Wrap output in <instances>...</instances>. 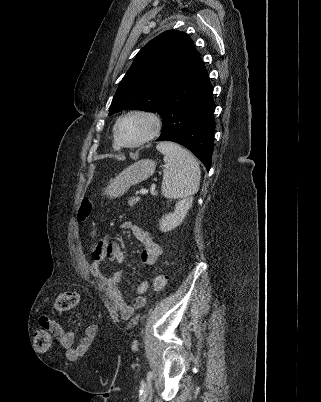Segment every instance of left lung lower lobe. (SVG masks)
Instances as JSON below:
<instances>
[{"label":"left lung lower lobe","mask_w":321,"mask_h":402,"mask_svg":"<svg viewBox=\"0 0 321 402\" xmlns=\"http://www.w3.org/2000/svg\"><path fill=\"white\" fill-rule=\"evenodd\" d=\"M203 61L166 97L162 109L163 131L156 141H173L192 151L211 168L214 148L215 103Z\"/></svg>","instance_id":"1"}]
</instances>
